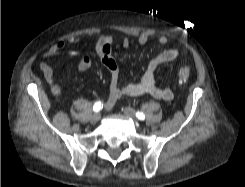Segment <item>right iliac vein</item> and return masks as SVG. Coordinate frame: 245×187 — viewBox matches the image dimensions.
Returning a JSON list of instances; mask_svg holds the SVG:
<instances>
[{
	"label": "right iliac vein",
	"instance_id": "63e3f726",
	"mask_svg": "<svg viewBox=\"0 0 245 187\" xmlns=\"http://www.w3.org/2000/svg\"><path fill=\"white\" fill-rule=\"evenodd\" d=\"M100 117H101L100 113H94L90 118V122L92 124H96L99 121Z\"/></svg>",
	"mask_w": 245,
	"mask_h": 187
}]
</instances>
